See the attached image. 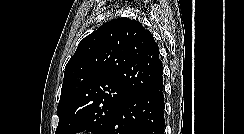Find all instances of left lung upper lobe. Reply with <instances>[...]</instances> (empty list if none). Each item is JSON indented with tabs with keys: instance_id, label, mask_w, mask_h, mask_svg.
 <instances>
[{
	"instance_id": "1",
	"label": "left lung upper lobe",
	"mask_w": 244,
	"mask_h": 134,
	"mask_svg": "<svg viewBox=\"0 0 244 134\" xmlns=\"http://www.w3.org/2000/svg\"><path fill=\"white\" fill-rule=\"evenodd\" d=\"M159 48L141 23L120 17L86 36L68 61L55 134H104L128 97L163 85Z\"/></svg>"
}]
</instances>
